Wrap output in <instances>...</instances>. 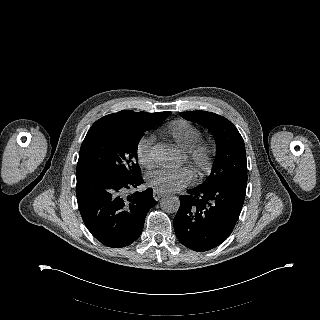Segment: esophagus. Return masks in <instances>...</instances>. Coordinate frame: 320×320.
<instances>
[{"mask_svg":"<svg viewBox=\"0 0 320 320\" xmlns=\"http://www.w3.org/2000/svg\"><path fill=\"white\" fill-rule=\"evenodd\" d=\"M164 194H165V193H164L163 191L156 189V190H154V192H153V197H154L156 200H158V199L161 198Z\"/></svg>","mask_w":320,"mask_h":320,"instance_id":"34e87169","label":"esophagus"}]
</instances>
